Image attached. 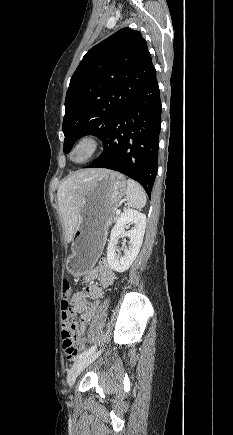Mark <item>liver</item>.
I'll return each instance as SVG.
<instances>
[{
    "label": "liver",
    "instance_id": "liver-1",
    "mask_svg": "<svg viewBox=\"0 0 233 435\" xmlns=\"http://www.w3.org/2000/svg\"><path fill=\"white\" fill-rule=\"evenodd\" d=\"M108 171L102 168L79 170L70 174L59 186L57 198L67 243L72 240L87 190L97 178Z\"/></svg>",
    "mask_w": 233,
    "mask_h": 435
}]
</instances>
